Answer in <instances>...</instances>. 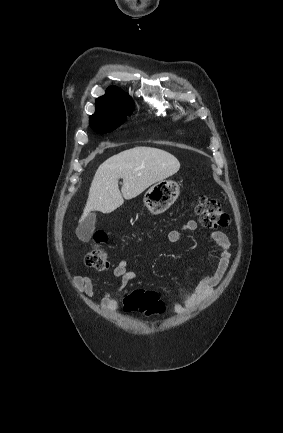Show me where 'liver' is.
Returning a JSON list of instances; mask_svg holds the SVG:
<instances>
[{"instance_id":"1","label":"liver","mask_w":283,"mask_h":433,"mask_svg":"<svg viewBox=\"0 0 283 433\" xmlns=\"http://www.w3.org/2000/svg\"><path fill=\"white\" fill-rule=\"evenodd\" d=\"M180 168L176 156L152 146H134L110 156L98 166L89 188L86 206L79 223L91 210L112 212L124 202L134 198L153 182L175 174ZM119 178H123L121 192Z\"/></svg>"}]
</instances>
